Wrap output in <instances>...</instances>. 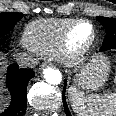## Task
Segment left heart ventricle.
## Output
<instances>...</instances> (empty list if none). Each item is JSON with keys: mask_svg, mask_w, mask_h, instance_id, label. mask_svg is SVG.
Returning a JSON list of instances; mask_svg holds the SVG:
<instances>
[{"mask_svg": "<svg viewBox=\"0 0 116 116\" xmlns=\"http://www.w3.org/2000/svg\"><path fill=\"white\" fill-rule=\"evenodd\" d=\"M91 36V27L88 24L79 25L70 37V45L72 48L81 47Z\"/></svg>", "mask_w": 116, "mask_h": 116, "instance_id": "b2bd125f", "label": "left heart ventricle"}]
</instances>
